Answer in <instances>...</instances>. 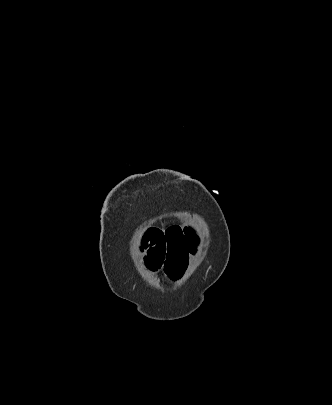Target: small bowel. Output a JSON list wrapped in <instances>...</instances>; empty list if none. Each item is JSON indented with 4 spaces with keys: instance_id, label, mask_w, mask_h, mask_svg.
I'll list each match as a JSON object with an SVG mask.
<instances>
[{
    "instance_id": "small-bowel-1",
    "label": "small bowel",
    "mask_w": 332,
    "mask_h": 405,
    "mask_svg": "<svg viewBox=\"0 0 332 405\" xmlns=\"http://www.w3.org/2000/svg\"><path fill=\"white\" fill-rule=\"evenodd\" d=\"M139 250L144 266L152 273L162 271L169 279H179L189 262V249L180 227H151L141 239Z\"/></svg>"
}]
</instances>
